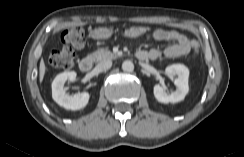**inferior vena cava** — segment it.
Segmentation results:
<instances>
[{
  "label": "inferior vena cava",
  "instance_id": "1",
  "mask_svg": "<svg viewBox=\"0 0 244 157\" xmlns=\"http://www.w3.org/2000/svg\"><path fill=\"white\" fill-rule=\"evenodd\" d=\"M111 66H112L111 60H103V61H100L95 68L97 69V71L103 72V71H107L108 69H110Z\"/></svg>",
  "mask_w": 244,
  "mask_h": 157
}]
</instances>
